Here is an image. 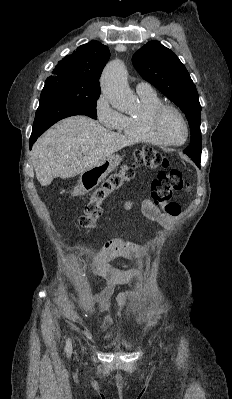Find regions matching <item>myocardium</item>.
I'll return each mask as SVG.
<instances>
[{"instance_id":"1","label":"myocardium","mask_w":232,"mask_h":399,"mask_svg":"<svg viewBox=\"0 0 232 399\" xmlns=\"http://www.w3.org/2000/svg\"><path fill=\"white\" fill-rule=\"evenodd\" d=\"M168 110L173 111L180 118L182 123L184 124L185 130H186V137L180 143H176L174 141L169 140L160 132L159 125H158L159 119H160L161 115ZM147 124H148V129H149L150 133L156 139L165 143L166 145H170V146L184 145L187 142L189 135H190L189 124H188L184 114L177 107L172 106V105L163 104V105L157 107L156 109H154L153 111H151V113L148 116Z\"/></svg>"}]
</instances>
